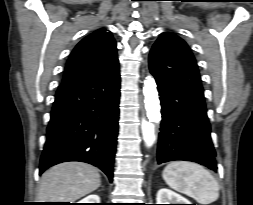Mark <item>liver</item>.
<instances>
[{"mask_svg": "<svg viewBox=\"0 0 253 205\" xmlns=\"http://www.w3.org/2000/svg\"><path fill=\"white\" fill-rule=\"evenodd\" d=\"M101 184L98 170L83 162L58 164L41 177L40 202H70L93 192Z\"/></svg>", "mask_w": 253, "mask_h": 205, "instance_id": "1", "label": "liver"}]
</instances>
